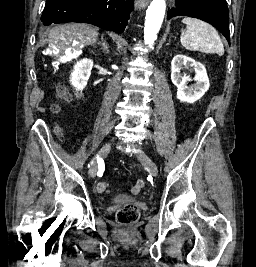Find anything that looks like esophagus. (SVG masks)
Here are the masks:
<instances>
[{
    "label": "esophagus",
    "mask_w": 256,
    "mask_h": 267,
    "mask_svg": "<svg viewBox=\"0 0 256 267\" xmlns=\"http://www.w3.org/2000/svg\"><path fill=\"white\" fill-rule=\"evenodd\" d=\"M150 0H135V8L143 9L149 4Z\"/></svg>",
    "instance_id": "34e87169"
}]
</instances>
